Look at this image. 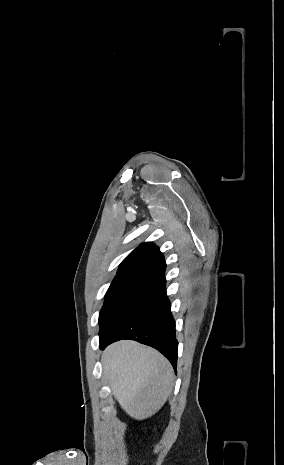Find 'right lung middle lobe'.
Segmentation results:
<instances>
[{"instance_id":"obj_1","label":"right lung middle lobe","mask_w":284,"mask_h":465,"mask_svg":"<svg viewBox=\"0 0 284 465\" xmlns=\"http://www.w3.org/2000/svg\"><path fill=\"white\" fill-rule=\"evenodd\" d=\"M155 283L139 278H114L99 314V335L127 312Z\"/></svg>"}]
</instances>
